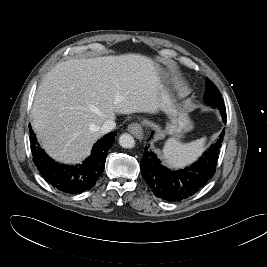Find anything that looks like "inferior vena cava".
Here are the masks:
<instances>
[{
	"instance_id": "602c4592",
	"label": "inferior vena cava",
	"mask_w": 267,
	"mask_h": 267,
	"mask_svg": "<svg viewBox=\"0 0 267 267\" xmlns=\"http://www.w3.org/2000/svg\"><path fill=\"white\" fill-rule=\"evenodd\" d=\"M115 127H116V123H115L113 120H106V121L102 124L100 130H101V132H102L103 134H105V133H108V132H110L111 130H113Z\"/></svg>"
}]
</instances>
